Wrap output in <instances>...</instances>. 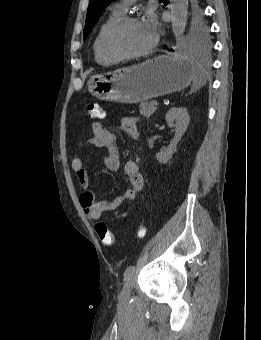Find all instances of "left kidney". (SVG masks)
Here are the masks:
<instances>
[{
  "instance_id": "5707ae66",
  "label": "left kidney",
  "mask_w": 261,
  "mask_h": 340,
  "mask_svg": "<svg viewBox=\"0 0 261 340\" xmlns=\"http://www.w3.org/2000/svg\"><path fill=\"white\" fill-rule=\"evenodd\" d=\"M165 119L169 127L174 128L175 135L170 145L156 154V158L161 164L167 163L172 158L173 153L176 151L177 144L187 130L190 121L187 109L184 107L171 108L167 112Z\"/></svg>"
}]
</instances>
